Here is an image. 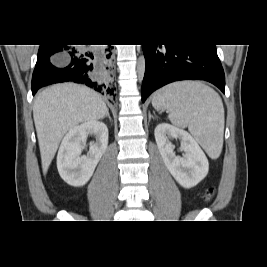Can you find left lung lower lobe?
Returning a JSON list of instances; mask_svg holds the SVG:
<instances>
[{"mask_svg":"<svg viewBox=\"0 0 267 267\" xmlns=\"http://www.w3.org/2000/svg\"><path fill=\"white\" fill-rule=\"evenodd\" d=\"M146 61L142 102L156 89L179 80H205L225 93V76L215 45H142Z\"/></svg>","mask_w":267,"mask_h":267,"instance_id":"left-lung-lower-lobe-1","label":"left lung lower lobe"}]
</instances>
